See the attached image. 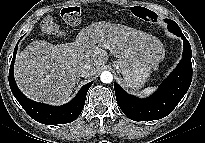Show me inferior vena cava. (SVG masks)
<instances>
[{
    "instance_id": "1",
    "label": "inferior vena cava",
    "mask_w": 205,
    "mask_h": 143,
    "mask_svg": "<svg viewBox=\"0 0 205 143\" xmlns=\"http://www.w3.org/2000/svg\"><path fill=\"white\" fill-rule=\"evenodd\" d=\"M82 77H91L95 74V68L92 65L86 64L80 69Z\"/></svg>"
}]
</instances>
